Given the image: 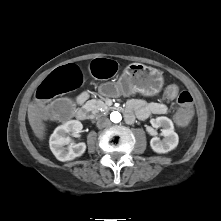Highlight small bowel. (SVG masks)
<instances>
[{
	"instance_id": "obj_1",
	"label": "small bowel",
	"mask_w": 221,
	"mask_h": 221,
	"mask_svg": "<svg viewBox=\"0 0 221 221\" xmlns=\"http://www.w3.org/2000/svg\"><path fill=\"white\" fill-rule=\"evenodd\" d=\"M89 98L88 92L80 93L76 99L78 105H82ZM127 110L129 112H135L136 116L140 120H145L151 115H163L168 112V107L164 103L160 102H147L142 99H131L127 103Z\"/></svg>"
}]
</instances>
